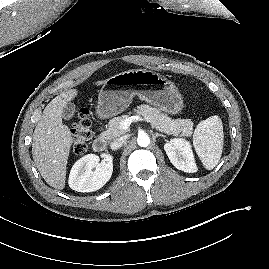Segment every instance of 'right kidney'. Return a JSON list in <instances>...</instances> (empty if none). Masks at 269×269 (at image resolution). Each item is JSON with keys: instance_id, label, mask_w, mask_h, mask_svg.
Returning a JSON list of instances; mask_svg holds the SVG:
<instances>
[{"instance_id": "obj_1", "label": "right kidney", "mask_w": 269, "mask_h": 269, "mask_svg": "<svg viewBox=\"0 0 269 269\" xmlns=\"http://www.w3.org/2000/svg\"><path fill=\"white\" fill-rule=\"evenodd\" d=\"M99 157L88 154L73 165L69 175V186L78 192H93L102 188L111 178L113 172V156L102 154ZM95 168V170H93Z\"/></svg>"}]
</instances>
